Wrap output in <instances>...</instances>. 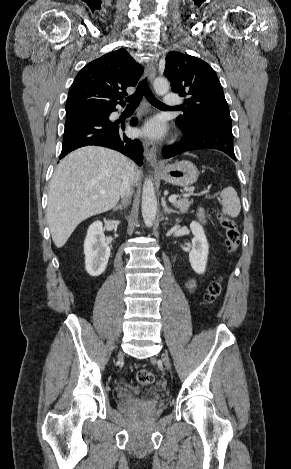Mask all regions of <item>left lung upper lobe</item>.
<instances>
[{
	"mask_svg": "<svg viewBox=\"0 0 291 469\" xmlns=\"http://www.w3.org/2000/svg\"><path fill=\"white\" fill-rule=\"evenodd\" d=\"M164 75L172 90L187 97V109L177 117L181 130L200 126L231 128V117L220 81L209 64L201 59L172 51L166 57Z\"/></svg>",
	"mask_w": 291,
	"mask_h": 469,
	"instance_id": "1",
	"label": "left lung upper lobe"
}]
</instances>
